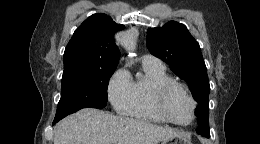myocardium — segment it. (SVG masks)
Wrapping results in <instances>:
<instances>
[{
	"label": "myocardium",
	"instance_id": "1",
	"mask_svg": "<svg viewBox=\"0 0 260 144\" xmlns=\"http://www.w3.org/2000/svg\"><path fill=\"white\" fill-rule=\"evenodd\" d=\"M179 89L183 91L186 96L189 98L191 105H192V115L189 121L187 122H178L174 120L167 112L166 107H165V102L168 97V95L176 90ZM151 105L154 109V111L157 113V115L163 120L168 123L177 125V126H188L190 125L196 116V108H197V102L195 98L193 97L192 93L190 90L183 85L182 83L176 82V81H169V82H164L159 85H157L152 93L151 97Z\"/></svg>",
	"mask_w": 260,
	"mask_h": 144
}]
</instances>
